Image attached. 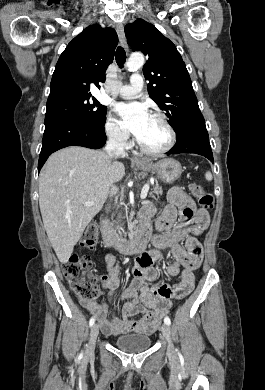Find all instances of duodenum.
I'll return each instance as SVG.
<instances>
[{
    "instance_id": "obj_1",
    "label": "duodenum",
    "mask_w": 265,
    "mask_h": 390,
    "mask_svg": "<svg viewBox=\"0 0 265 390\" xmlns=\"http://www.w3.org/2000/svg\"><path fill=\"white\" fill-rule=\"evenodd\" d=\"M102 229V241L106 247L116 248L119 253L123 255H130L134 252L142 251L151 236L149 219L140 215L138 219V225L132 232V241L129 243L118 240L115 235L108 229V223L106 219L101 221Z\"/></svg>"
}]
</instances>
